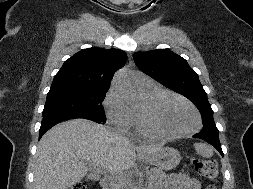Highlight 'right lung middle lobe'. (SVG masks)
<instances>
[{"label": "right lung middle lobe", "mask_w": 253, "mask_h": 189, "mask_svg": "<svg viewBox=\"0 0 253 189\" xmlns=\"http://www.w3.org/2000/svg\"><path fill=\"white\" fill-rule=\"evenodd\" d=\"M109 87L66 86L51 88L47 94L43 117L72 115L105 123L102 102Z\"/></svg>", "instance_id": "obj_1"}]
</instances>
